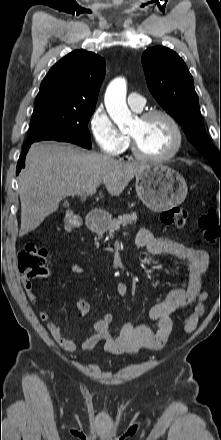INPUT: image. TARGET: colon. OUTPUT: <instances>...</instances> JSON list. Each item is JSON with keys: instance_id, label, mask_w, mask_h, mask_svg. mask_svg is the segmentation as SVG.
<instances>
[{"instance_id": "obj_1", "label": "colon", "mask_w": 221, "mask_h": 440, "mask_svg": "<svg viewBox=\"0 0 221 440\" xmlns=\"http://www.w3.org/2000/svg\"><path fill=\"white\" fill-rule=\"evenodd\" d=\"M161 222L167 226L183 227L187 221V211L183 208L174 207L161 212ZM82 224L81 217L73 211L64 214L63 226L67 232L78 229ZM199 227L203 231L204 238L209 243L221 241V223L211 214L201 217ZM18 267L28 279H36L47 274L46 250L37 247L34 243H27L18 255ZM79 314L85 315L90 311V303L87 300L77 302ZM105 323L110 324L114 319L113 312H104Z\"/></svg>"}]
</instances>
